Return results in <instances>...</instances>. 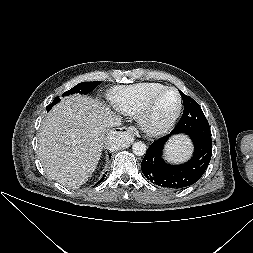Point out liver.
I'll use <instances>...</instances> for the list:
<instances>
[{
  "label": "liver",
  "instance_id": "obj_1",
  "mask_svg": "<svg viewBox=\"0 0 253 253\" xmlns=\"http://www.w3.org/2000/svg\"><path fill=\"white\" fill-rule=\"evenodd\" d=\"M111 111L82 95L63 98L46 116L38 140V155L48 176L76 189L95 171Z\"/></svg>",
  "mask_w": 253,
  "mask_h": 253
}]
</instances>
